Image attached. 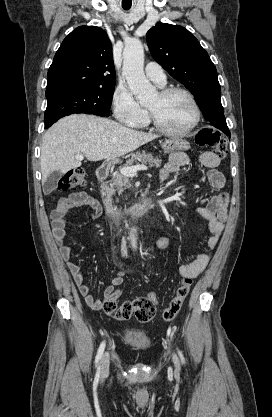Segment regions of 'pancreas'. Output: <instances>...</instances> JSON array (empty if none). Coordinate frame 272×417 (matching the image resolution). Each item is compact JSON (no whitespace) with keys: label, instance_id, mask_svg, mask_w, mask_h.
Here are the masks:
<instances>
[{"label":"pancreas","instance_id":"pancreas-1","mask_svg":"<svg viewBox=\"0 0 272 417\" xmlns=\"http://www.w3.org/2000/svg\"><path fill=\"white\" fill-rule=\"evenodd\" d=\"M134 161H139L142 164H149L150 166H155L156 168H159L161 166V160L158 157H154L150 153L135 154L126 166H131L134 163ZM130 186L131 184L129 178L127 176L122 175L121 172H117L113 175L112 183L110 184L111 190H117L121 193L125 188H129Z\"/></svg>","mask_w":272,"mask_h":417}]
</instances>
